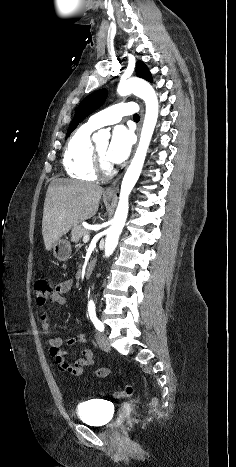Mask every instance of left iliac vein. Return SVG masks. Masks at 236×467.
Listing matches in <instances>:
<instances>
[{
  "instance_id": "1",
  "label": "left iliac vein",
  "mask_w": 236,
  "mask_h": 467,
  "mask_svg": "<svg viewBox=\"0 0 236 467\" xmlns=\"http://www.w3.org/2000/svg\"><path fill=\"white\" fill-rule=\"evenodd\" d=\"M96 340L99 347L104 351L110 350V342L107 335L104 332H98L96 334Z\"/></svg>"
}]
</instances>
